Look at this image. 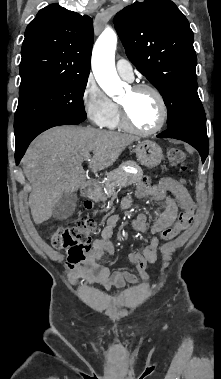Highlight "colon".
<instances>
[{
  "label": "colon",
  "instance_id": "colon-1",
  "mask_svg": "<svg viewBox=\"0 0 221 379\" xmlns=\"http://www.w3.org/2000/svg\"><path fill=\"white\" fill-rule=\"evenodd\" d=\"M169 163L178 168L180 172L186 170V154L179 148H171L168 151ZM183 179L180 180V184ZM87 209L92 207V202H84ZM194 217V206L183 210L174 226L162 231L161 237L164 240H170L177 236L181 231L188 228ZM96 224L93 218L87 217L78 220L74 225L58 228L51 234L50 240L54 247L63 249L67 252L68 266L72 269L81 268L87 265L89 252L91 250V235L95 230Z\"/></svg>",
  "mask_w": 221,
  "mask_h": 379
}]
</instances>
